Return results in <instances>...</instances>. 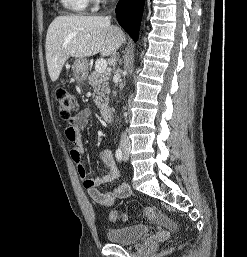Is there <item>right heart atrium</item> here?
<instances>
[{
    "label": "right heart atrium",
    "mask_w": 247,
    "mask_h": 257,
    "mask_svg": "<svg viewBox=\"0 0 247 257\" xmlns=\"http://www.w3.org/2000/svg\"><path fill=\"white\" fill-rule=\"evenodd\" d=\"M90 3H92L93 8H97L102 2L103 0H89Z\"/></svg>",
    "instance_id": "obj_1"
}]
</instances>
